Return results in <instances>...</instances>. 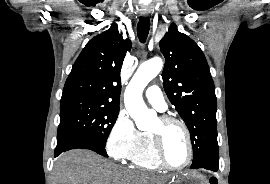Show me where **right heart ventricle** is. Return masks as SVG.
I'll return each mask as SVG.
<instances>
[{
	"label": "right heart ventricle",
	"instance_id": "right-heart-ventricle-1",
	"mask_svg": "<svg viewBox=\"0 0 270 184\" xmlns=\"http://www.w3.org/2000/svg\"><path fill=\"white\" fill-rule=\"evenodd\" d=\"M129 161L133 166L146 170H158L162 167L156 158L149 133H142L141 142Z\"/></svg>",
	"mask_w": 270,
	"mask_h": 184
}]
</instances>
